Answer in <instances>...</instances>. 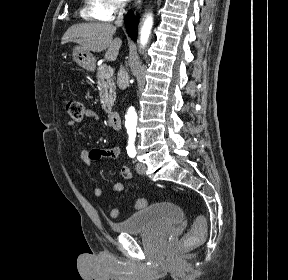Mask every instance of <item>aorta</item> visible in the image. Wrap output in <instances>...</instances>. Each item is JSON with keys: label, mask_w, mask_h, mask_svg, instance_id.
Wrapping results in <instances>:
<instances>
[{"label": "aorta", "mask_w": 288, "mask_h": 280, "mask_svg": "<svg viewBox=\"0 0 288 280\" xmlns=\"http://www.w3.org/2000/svg\"><path fill=\"white\" fill-rule=\"evenodd\" d=\"M153 25L152 15H148L144 21V24L140 31V43L144 47L149 39V35ZM136 111V106H125L124 118L125 120L133 121H124V126H126V136L128 140H135L137 136V126H135V120H138V115Z\"/></svg>", "instance_id": "1"}]
</instances>
